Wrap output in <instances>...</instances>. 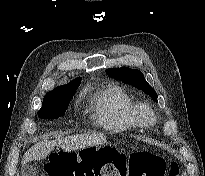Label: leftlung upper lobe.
Listing matches in <instances>:
<instances>
[{
	"instance_id": "5c2ea615",
	"label": "left lung upper lobe",
	"mask_w": 205,
	"mask_h": 176,
	"mask_svg": "<svg viewBox=\"0 0 205 176\" xmlns=\"http://www.w3.org/2000/svg\"><path fill=\"white\" fill-rule=\"evenodd\" d=\"M107 73L116 79L122 80L123 82L131 84L132 86L144 91L157 101V93L146 82L144 75L139 70L130 69L128 67L110 68L107 69Z\"/></svg>"
}]
</instances>
